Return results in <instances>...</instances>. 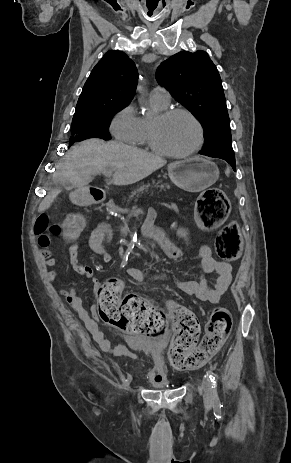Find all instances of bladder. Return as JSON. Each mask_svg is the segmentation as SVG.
Wrapping results in <instances>:
<instances>
[{
  "instance_id": "31cf9c89",
  "label": "bladder",
  "mask_w": 291,
  "mask_h": 463,
  "mask_svg": "<svg viewBox=\"0 0 291 463\" xmlns=\"http://www.w3.org/2000/svg\"><path fill=\"white\" fill-rule=\"evenodd\" d=\"M128 346L139 352H148L147 345L137 342L135 339H129ZM154 361L153 371L149 374L148 381L153 388L171 387L172 383L164 368L163 357L157 353L148 352Z\"/></svg>"
}]
</instances>
